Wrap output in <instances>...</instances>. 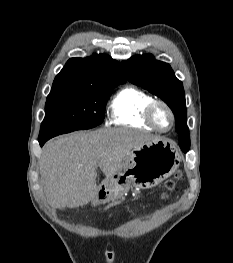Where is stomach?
I'll use <instances>...</instances> for the list:
<instances>
[{"label":"stomach","instance_id":"0dacf381","mask_svg":"<svg viewBox=\"0 0 233 263\" xmlns=\"http://www.w3.org/2000/svg\"><path fill=\"white\" fill-rule=\"evenodd\" d=\"M180 154L176 146L163 138H155L135 147L125 158L122 168L106 179L94 206L122 198L131 187L152 188L170 177L179 167Z\"/></svg>","mask_w":233,"mask_h":263}]
</instances>
